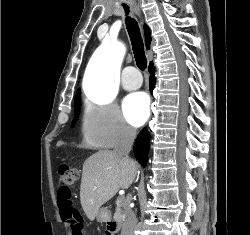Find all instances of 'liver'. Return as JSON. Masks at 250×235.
<instances>
[{
  "label": "liver",
  "mask_w": 250,
  "mask_h": 235,
  "mask_svg": "<svg viewBox=\"0 0 250 235\" xmlns=\"http://www.w3.org/2000/svg\"><path fill=\"white\" fill-rule=\"evenodd\" d=\"M138 165L126 161L114 151L100 150L83 164L80 201L90 221L100 207L115 196L119 189H127L135 180Z\"/></svg>",
  "instance_id": "6515ba94"
}]
</instances>
